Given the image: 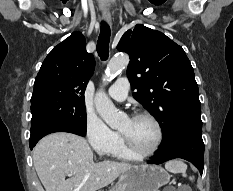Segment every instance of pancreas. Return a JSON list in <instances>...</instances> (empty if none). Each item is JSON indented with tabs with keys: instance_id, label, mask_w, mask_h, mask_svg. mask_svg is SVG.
I'll use <instances>...</instances> for the list:
<instances>
[{
	"instance_id": "cf45deb5",
	"label": "pancreas",
	"mask_w": 233,
	"mask_h": 191,
	"mask_svg": "<svg viewBox=\"0 0 233 191\" xmlns=\"http://www.w3.org/2000/svg\"><path fill=\"white\" fill-rule=\"evenodd\" d=\"M110 191H119V190L114 188V189H111Z\"/></svg>"
}]
</instances>
